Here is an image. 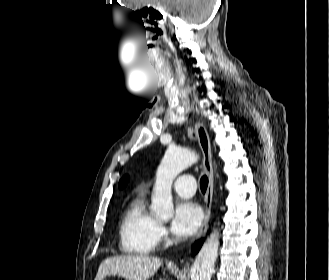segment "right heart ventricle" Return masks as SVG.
<instances>
[{
	"label": "right heart ventricle",
	"mask_w": 329,
	"mask_h": 280,
	"mask_svg": "<svg viewBox=\"0 0 329 280\" xmlns=\"http://www.w3.org/2000/svg\"><path fill=\"white\" fill-rule=\"evenodd\" d=\"M157 219L147 210L143 196L129 205L120 225L121 250L128 254L148 255L158 243Z\"/></svg>",
	"instance_id": "1"
}]
</instances>
